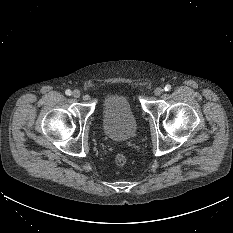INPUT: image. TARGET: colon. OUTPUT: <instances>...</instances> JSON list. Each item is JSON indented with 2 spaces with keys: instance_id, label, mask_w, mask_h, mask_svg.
Listing matches in <instances>:
<instances>
[{
  "instance_id": "5ec220e1",
  "label": "colon",
  "mask_w": 233,
  "mask_h": 233,
  "mask_svg": "<svg viewBox=\"0 0 233 233\" xmlns=\"http://www.w3.org/2000/svg\"><path fill=\"white\" fill-rule=\"evenodd\" d=\"M115 163L118 166H123L127 163V157L124 154H118L115 158Z\"/></svg>"
}]
</instances>
